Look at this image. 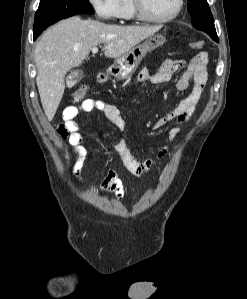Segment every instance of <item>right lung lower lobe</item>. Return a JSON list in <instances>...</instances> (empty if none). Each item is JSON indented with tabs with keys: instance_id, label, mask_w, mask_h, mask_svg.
<instances>
[{
	"instance_id": "1",
	"label": "right lung lower lobe",
	"mask_w": 247,
	"mask_h": 299,
	"mask_svg": "<svg viewBox=\"0 0 247 299\" xmlns=\"http://www.w3.org/2000/svg\"><path fill=\"white\" fill-rule=\"evenodd\" d=\"M39 35H34V40L38 37Z\"/></svg>"
}]
</instances>
